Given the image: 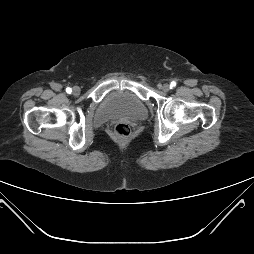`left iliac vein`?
<instances>
[{
	"mask_svg": "<svg viewBox=\"0 0 254 254\" xmlns=\"http://www.w3.org/2000/svg\"><path fill=\"white\" fill-rule=\"evenodd\" d=\"M162 89L164 92H168L170 90V86L168 84H164Z\"/></svg>",
	"mask_w": 254,
	"mask_h": 254,
	"instance_id": "left-iliac-vein-1",
	"label": "left iliac vein"
}]
</instances>
